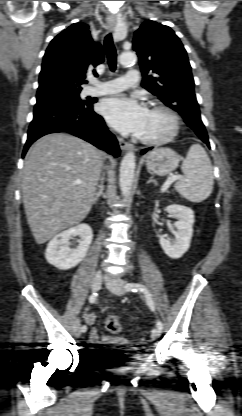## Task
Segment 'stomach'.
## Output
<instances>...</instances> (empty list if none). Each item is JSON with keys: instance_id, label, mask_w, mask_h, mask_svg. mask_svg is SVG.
<instances>
[{"instance_id": "stomach-1", "label": "stomach", "mask_w": 242, "mask_h": 416, "mask_svg": "<svg viewBox=\"0 0 242 416\" xmlns=\"http://www.w3.org/2000/svg\"><path fill=\"white\" fill-rule=\"evenodd\" d=\"M178 154L170 148H156L145 157L147 169L159 176H165L174 171L179 164Z\"/></svg>"}]
</instances>
